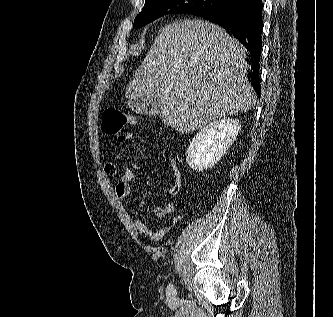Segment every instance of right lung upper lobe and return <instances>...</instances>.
I'll return each mask as SVG.
<instances>
[{
    "instance_id": "obj_1",
    "label": "right lung upper lobe",
    "mask_w": 333,
    "mask_h": 317,
    "mask_svg": "<svg viewBox=\"0 0 333 317\" xmlns=\"http://www.w3.org/2000/svg\"><path fill=\"white\" fill-rule=\"evenodd\" d=\"M225 1L229 2V1H232V0H225Z\"/></svg>"
}]
</instances>
